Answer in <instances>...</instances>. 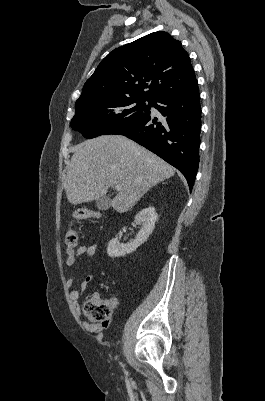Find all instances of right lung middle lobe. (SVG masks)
I'll return each instance as SVG.
<instances>
[{"instance_id": "right-lung-middle-lobe-1", "label": "right lung middle lobe", "mask_w": 265, "mask_h": 401, "mask_svg": "<svg viewBox=\"0 0 265 401\" xmlns=\"http://www.w3.org/2000/svg\"><path fill=\"white\" fill-rule=\"evenodd\" d=\"M148 102V104L146 103ZM155 101L140 97H102L76 107L71 127L85 138L113 134L150 115Z\"/></svg>"}]
</instances>
